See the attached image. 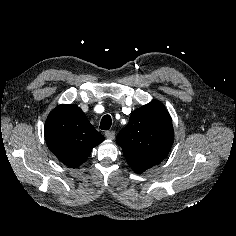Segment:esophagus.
Returning a JSON list of instances; mask_svg holds the SVG:
<instances>
[{
    "mask_svg": "<svg viewBox=\"0 0 236 236\" xmlns=\"http://www.w3.org/2000/svg\"><path fill=\"white\" fill-rule=\"evenodd\" d=\"M105 136H106V138L113 140L115 138V132L114 131H106Z\"/></svg>",
    "mask_w": 236,
    "mask_h": 236,
    "instance_id": "obj_1",
    "label": "esophagus"
}]
</instances>
